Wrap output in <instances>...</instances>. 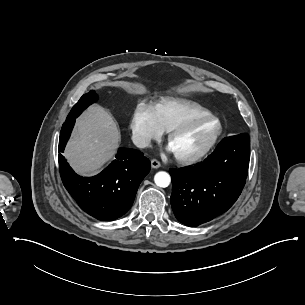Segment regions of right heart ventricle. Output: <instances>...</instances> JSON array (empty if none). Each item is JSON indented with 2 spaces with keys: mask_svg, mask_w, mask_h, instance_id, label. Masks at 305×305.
<instances>
[{
  "mask_svg": "<svg viewBox=\"0 0 305 305\" xmlns=\"http://www.w3.org/2000/svg\"><path fill=\"white\" fill-rule=\"evenodd\" d=\"M155 112L161 129L164 132H171L185 120L210 113L211 111L192 100L168 98L156 107Z\"/></svg>",
  "mask_w": 305,
  "mask_h": 305,
  "instance_id": "1",
  "label": "right heart ventricle"
}]
</instances>
